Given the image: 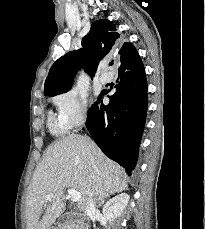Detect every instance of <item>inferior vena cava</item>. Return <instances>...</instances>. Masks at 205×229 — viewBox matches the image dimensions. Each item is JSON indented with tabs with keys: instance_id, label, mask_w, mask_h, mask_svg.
<instances>
[{
	"instance_id": "inferior-vena-cava-1",
	"label": "inferior vena cava",
	"mask_w": 205,
	"mask_h": 229,
	"mask_svg": "<svg viewBox=\"0 0 205 229\" xmlns=\"http://www.w3.org/2000/svg\"><path fill=\"white\" fill-rule=\"evenodd\" d=\"M95 206H96L95 199L93 198V194L90 193L89 200L86 203L85 213L87 215L91 214L93 211H95Z\"/></svg>"
}]
</instances>
